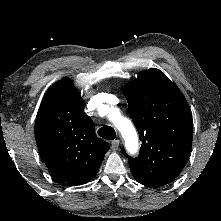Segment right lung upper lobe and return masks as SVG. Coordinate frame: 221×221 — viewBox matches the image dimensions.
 <instances>
[{"mask_svg": "<svg viewBox=\"0 0 221 221\" xmlns=\"http://www.w3.org/2000/svg\"><path fill=\"white\" fill-rule=\"evenodd\" d=\"M85 103L64 77L46 92L35 122V138L48 169L70 185L89 182L98 172L109 144L95 134Z\"/></svg>", "mask_w": 221, "mask_h": 221, "instance_id": "right-lung-upper-lobe-1", "label": "right lung upper lobe"}]
</instances>
